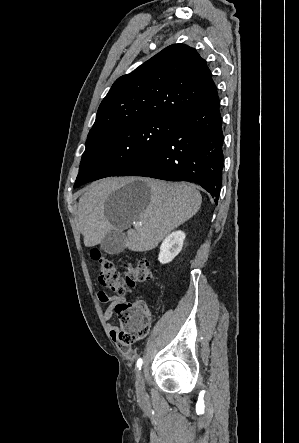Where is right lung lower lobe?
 Listing matches in <instances>:
<instances>
[{"label": "right lung lower lobe", "instance_id": "1", "mask_svg": "<svg viewBox=\"0 0 299 443\" xmlns=\"http://www.w3.org/2000/svg\"><path fill=\"white\" fill-rule=\"evenodd\" d=\"M215 89L174 117L175 128L155 150L118 176H144L201 185L218 202L223 170V135Z\"/></svg>", "mask_w": 299, "mask_h": 443}]
</instances>
